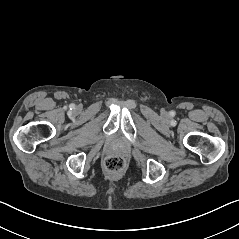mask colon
Wrapping results in <instances>:
<instances>
[{
    "mask_svg": "<svg viewBox=\"0 0 239 239\" xmlns=\"http://www.w3.org/2000/svg\"><path fill=\"white\" fill-rule=\"evenodd\" d=\"M104 164L107 170L115 172L121 170L124 167L125 161L122 157L113 155L108 156L105 159Z\"/></svg>",
    "mask_w": 239,
    "mask_h": 239,
    "instance_id": "obj_1",
    "label": "colon"
}]
</instances>
